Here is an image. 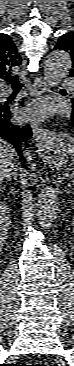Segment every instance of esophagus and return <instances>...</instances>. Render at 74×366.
<instances>
[{
	"label": "esophagus",
	"mask_w": 74,
	"mask_h": 366,
	"mask_svg": "<svg viewBox=\"0 0 74 366\" xmlns=\"http://www.w3.org/2000/svg\"><path fill=\"white\" fill-rule=\"evenodd\" d=\"M47 89L46 79L43 77H38L35 79L31 95L33 97H41ZM31 128L33 131L34 138L37 142V146L40 150H45L50 145L48 140L50 136V131L40 127V123L37 121L31 122Z\"/></svg>",
	"instance_id": "esophagus-1"
}]
</instances>
